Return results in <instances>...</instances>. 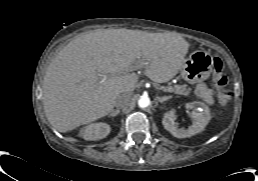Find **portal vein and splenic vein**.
Wrapping results in <instances>:
<instances>
[{
    "label": "portal vein and splenic vein",
    "mask_w": 258,
    "mask_h": 181,
    "mask_svg": "<svg viewBox=\"0 0 258 181\" xmlns=\"http://www.w3.org/2000/svg\"><path fill=\"white\" fill-rule=\"evenodd\" d=\"M164 90L167 91V92H173L172 87H167V88H165Z\"/></svg>",
    "instance_id": "1"
}]
</instances>
